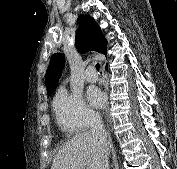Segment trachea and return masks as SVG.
Masks as SVG:
<instances>
[{"instance_id": "trachea-1", "label": "trachea", "mask_w": 177, "mask_h": 169, "mask_svg": "<svg viewBox=\"0 0 177 169\" xmlns=\"http://www.w3.org/2000/svg\"><path fill=\"white\" fill-rule=\"evenodd\" d=\"M96 70H97V71L100 70V64H99V63L96 64Z\"/></svg>"}]
</instances>
